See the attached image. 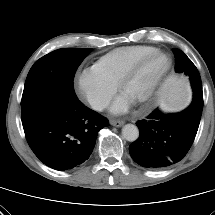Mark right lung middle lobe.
Instances as JSON below:
<instances>
[{"label": "right lung middle lobe", "instance_id": "obj_1", "mask_svg": "<svg viewBox=\"0 0 215 215\" xmlns=\"http://www.w3.org/2000/svg\"><path fill=\"white\" fill-rule=\"evenodd\" d=\"M91 48L55 50L34 63L21 100L22 124L26 128L62 101L76 100L74 74Z\"/></svg>", "mask_w": 215, "mask_h": 215}]
</instances>
